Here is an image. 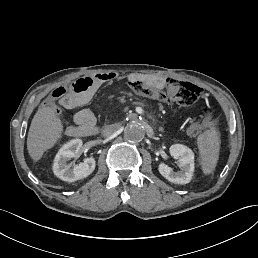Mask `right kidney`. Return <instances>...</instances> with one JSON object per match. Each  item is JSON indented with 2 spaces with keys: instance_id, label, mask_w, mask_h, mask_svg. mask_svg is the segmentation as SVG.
<instances>
[{
  "instance_id": "1",
  "label": "right kidney",
  "mask_w": 258,
  "mask_h": 258,
  "mask_svg": "<svg viewBox=\"0 0 258 258\" xmlns=\"http://www.w3.org/2000/svg\"><path fill=\"white\" fill-rule=\"evenodd\" d=\"M81 139H72L64 144L56 154L53 163L54 174L63 181L74 182L89 176L95 169V159L93 157L86 158L83 163L75 165L71 169V165L67 161L75 157L82 147Z\"/></svg>"
}]
</instances>
